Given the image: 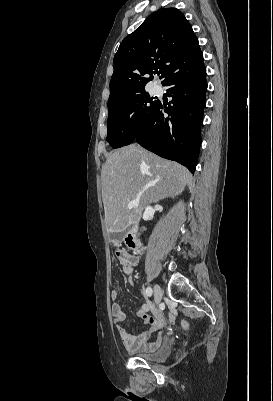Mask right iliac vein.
I'll return each instance as SVG.
<instances>
[{"instance_id": "63e3f726", "label": "right iliac vein", "mask_w": 273, "mask_h": 401, "mask_svg": "<svg viewBox=\"0 0 273 401\" xmlns=\"http://www.w3.org/2000/svg\"><path fill=\"white\" fill-rule=\"evenodd\" d=\"M163 295L162 289L161 287L156 284L154 286V300H155V304L158 305L161 301V297Z\"/></svg>"}]
</instances>
